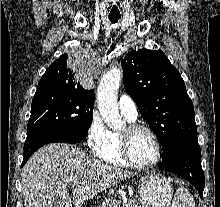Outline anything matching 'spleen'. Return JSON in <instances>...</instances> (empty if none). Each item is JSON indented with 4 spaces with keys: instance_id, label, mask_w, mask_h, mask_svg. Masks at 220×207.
<instances>
[{
    "instance_id": "obj_1",
    "label": "spleen",
    "mask_w": 220,
    "mask_h": 207,
    "mask_svg": "<svg viewBox=\"0 0 220 207\" xmlns=\"http://www.w3.org/2000/svg\"><path fill=\"white\" fill-rule=\"evenodd\" d=\"M172 207H195L194 198L186 188L180 187L176 191Z\"/></svg>"
}]
</instances>
